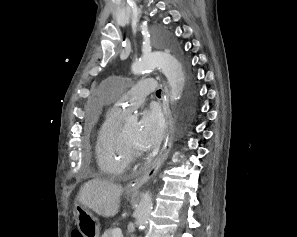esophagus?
Wrapping results in <instances>:
<instances>
[{
    "label": "esophagus",
    "mask_w": 297,
    "mask_h": 237,
    "mask_svg": "<svg viewBox=\"0 0 297 237\" xmlns=\"http://www.w3.org/2000/svg\"><path fill=\"white\" fill-rule=\"evenodd\" d=\"M163 113L165 116V131L162 150L149 168H146L144 171H142L138 178H135L127 183V191H137L143 184L154 177L168 157L173 144V118L165 101H163Z\"/></svg>",
    "instance_id": "1"
}]
</instances>
